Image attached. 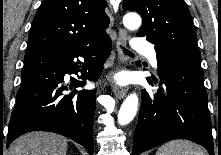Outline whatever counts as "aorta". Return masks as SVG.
Instances as JSON below:
<instances>
[{
    "label": "aorta",
    "mask_w": 221,
    "mask_h": 155,
    "mask_svg": "<svg viewBox=\"0 0 221 155\" xmlns=\"http://www.w3.org/2000/svg\"><path fill=\"white\" fill-rule=\"evenodd\" d=\"M124 26L129 30H136L141 26V17L137 13H127L123 18ZM138 108V96L132 93L126 97L118 113V123L127 125L136 115Z\"/></svg>",
    "instance_id": "1"
}]
</instances>
